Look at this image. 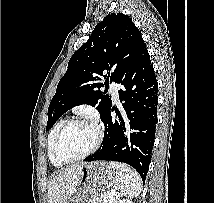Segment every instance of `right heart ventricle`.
Here are the masks:
<instances>
[{
	"label": "right heart ventricle",
	"mask_w": 214,
	"mask_h": 203,
	"mask_svg": "<svg viewBox=\"0 0 214 203\" xmlns=\"http://www.w3.org/2000/svg\"><path fill=\"white\" fill-rule=\"evenodd\" d=\"M65 122H67V118H60L55 125L52 127L49 135H48V141H47V154L49 157V160L51 161V163L54 166H61L62 164L59 163L54 155H53V142H54V138L56 133L58 132V130L62 127L63 124H65Z\"/></svg>",
	"instance_id": "1"
}]
</instances>
